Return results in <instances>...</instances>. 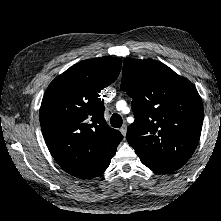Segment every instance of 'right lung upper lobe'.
<instances>
[{
  "label": "right lung upper lobe",
  "mask_w": 221,
  "mask_h": 221,
  "mask_svg": "<svg viewBox=\"0 0 221 221\" xmlns=\"http://www.w3.org/2000/svg\"><path fill=\"white\" fill-rule=\"evenodd\" d=\"M114 57L81 61L56 77L40 107L42 133L55 161L67 173L89 179L109 166L122 134L108 127L100 91L121 69Z\"/></svg>",
  "instance_id": "right-lung-upper-lobe-1"
}]
</instances>
